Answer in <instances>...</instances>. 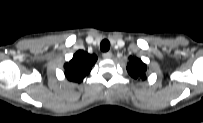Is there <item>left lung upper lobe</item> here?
<instances>
[{
    "label": "left lung upper lobe",
    "instance_id": "left-lung-upper-lobe-1",
    "mask_svg": "<svg viewBox=\"0 0 203 123\" xmlns=\"http://www.w3.org/2000/svg\"><path fill=\"white\" fill-rule=\"evenodd\" d=\"M127 71L130 76L135 79L141 78L142 80L146 79V64H144L140 59L136 57H130Z\"/></svg>",
    "mask_w": 203,
    "mask_h": 123
}]
</instances>
